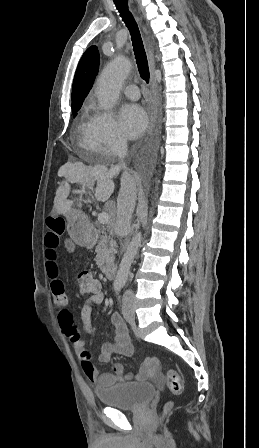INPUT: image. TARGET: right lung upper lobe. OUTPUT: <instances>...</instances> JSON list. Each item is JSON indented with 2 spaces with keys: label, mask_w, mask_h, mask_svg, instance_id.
<instances>
[{
  "label": "right lung upper lobe",
  "mask_w": 259,
  "mask_h": 448,
  "mask_svg": "<svg viewBox=\"0 0 259 448\" xmlns=\"http://www.w3.org/2000/svg\"><path fill=\"white\" fill-rule=\"evenodd\" d=\"M99 68V53L96 46L89 47L80 59L72 85V110L82 106L89 93Z\"/></svg>",
  "instance_id": "right-lung-upper-lobe-1"
}]
</instances>
